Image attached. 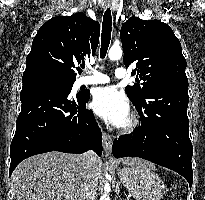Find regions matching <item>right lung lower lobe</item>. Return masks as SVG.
<instances>
[{
	"label": "right lung lower lobe",
	"instance_id": "98d812e1",
	"mask_svg": "<svg viewBox=\"0 0 205 200\" xmlns=\"http://www.w3.org/2000/svg\"><path fill=\"white\" fill-rule=\"evenodd\" d=\"M22 82L9 175L24 159L53 150L80 154L93 149L101 156V130L86 109L89 93L71 98L72 86L51 75L26 76Z\"/></svg>",
	"mask_w": 205,
	"mask_h": 200
}]
</instances>
